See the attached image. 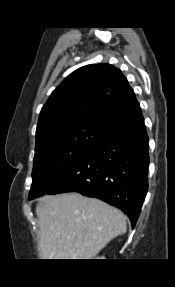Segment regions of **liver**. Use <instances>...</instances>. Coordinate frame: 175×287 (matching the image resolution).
<instances>
[{"label": "liver", "instance_id": "liver-1", "mask_svg": "<svg viewBox=\"0 0 175 287\" xmlns=\"http://www.w3.org/2000/svg\"><path fill=\"white\" fill-rule=\"evenodd\" d=\"M36 215L42 259H92L127 230L120 210L77 193L44 196Z\"/></svg>", "mask_w": 175, "mask_h": 287}]
</instances>
